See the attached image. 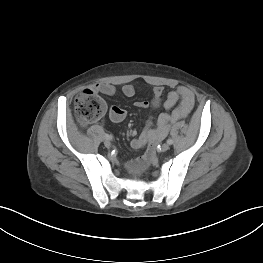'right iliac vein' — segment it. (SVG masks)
Returning <instances> with one entry per match:
<instances>
[{
  "label": "right iliac vein",
  "instance_id": "right-iliac-vein-1",
  "mask_svg": "<svg viewBox=\"0 0 263 263\" xmlns=\"http://www.w3.org/2000/svg\"><path fill=\"white\" fill-rule=\"evenodd\" d=\"M104 145H105V147L110 148L111 147V142L108 139H106L104 141Z\"/></svg>",
  "mask_w": 263,
  "mask_h": 263
}]
</instances>
